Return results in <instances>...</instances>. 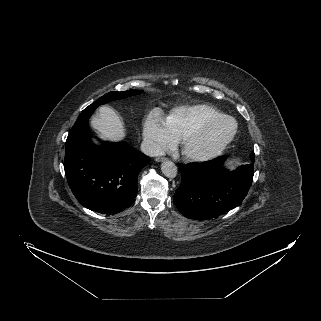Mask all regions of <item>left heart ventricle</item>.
I'll return each instance as SVG.
<instances>
[{
  "instance_id": "1",
  "label": "left heart ventricle",
  "mask_w": 321,
  "mask_h": 321,
  "mask_svg": "<svg viewBox=\"0 0 321 321\" xmlns=\"http://www.w3.org/2000/svg\"><path fill=\"white\" fill-rule=\"evenodd\" d=\"M232 129L229 121L220 122L209 128L204 134L191 142L190 148L195 151H207L216 146Z\"/></svg>"
}]
</instances>
